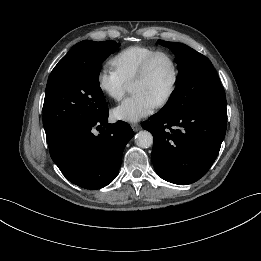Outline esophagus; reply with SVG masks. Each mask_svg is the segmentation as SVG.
Segmentation results:
<instances>
[{
  "instance_id": "esophagus-1",
  "label": "esophagus",
  "mask_w": 261,
  "mask_h": 261,
  "mask_svg": "<svg viewBox=\"0 0 261 261\" xmlns=\"http://www.w3.org/2000/svg\"><path fill=\"white\" fill-rule=\"evenodd\" d=\"M131 127H132L133 131H135V132H138L139 130L142 129L141 125H140V124H137V123H133V124L131 125Z\"/></svg>"
}]
</instances>
